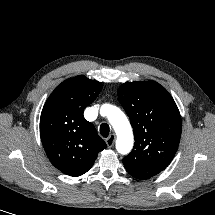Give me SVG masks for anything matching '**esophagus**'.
<instances>
[{
  "instance_id": "1",
  "label": "esophagus",
  "mask_w": 215,
  "mask_h": 215,
  "mask_svg": "<svg viewBox=\"0 0 215 215\" xmlns=\"http://www.w3.org/2000/svg\"><path fill=\"white\" fill-rule=\"evenodd\" d=\"M115 135L111 134L107 139H106V144L108 147H112L114 145L115 142Z\"/></svg>"
}]
</instances>
